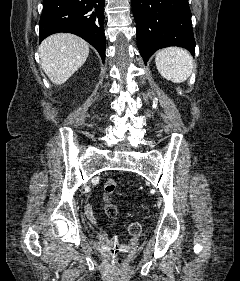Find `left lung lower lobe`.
Segmentation results:
<instances>
[{"mask_svg":"<svg viewBox=\"0 0 240 281\" xmlns=\"http://www.w3.org/2000/svg\"><path fill=\"white\" fill-rule=\"evenodd\" d=\"M139 52L148 61L158 49L179 46L195 53L188 0H131Z\"/></svg>","mask_w":240,"mask_h":281,"instance_id":"1","label":"left lung lower lobe"}]
</instances>
